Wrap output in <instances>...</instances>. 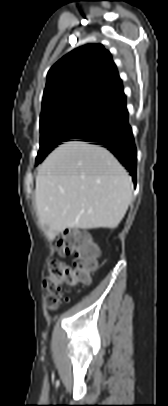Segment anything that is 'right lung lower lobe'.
<instances>
[{"mask_svg": "<svg viewBox=\"0 0 168 406\" xmlns=\"http://www.w3.org/2000/svg\"><path fill=\"white\" fill-rule=\"evenodd\" d=\"M109 107L112 115L110 120L79 139L107 148L129 170L136 184L137 151L128 123L125 95L114 99Z\"/></svg>", "mask_w": 168, "mask_h": 406, "instance_id": "obj_1", "label": "right lung lower lobe"}]
</instances>
